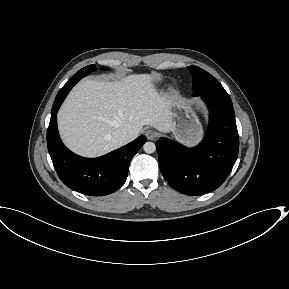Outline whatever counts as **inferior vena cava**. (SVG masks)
I'll use <instances>...</instances> for the list:
<instances>
[{
  "instance_id": "602c4592",
  "label": "inferior vena cava",
  "mask_w": 289,
  "mask_h": 289,
  "mask_svg": "<svg viewBox=\"0 0 289 289\" xmlns=\"http://www.w3.org/2000/svg\"><path fill=\"white\" fill-rule=\"evenodd\" d=\"M113 140L117 145H124L128 141V135L123 130H118L113 134Z\"/></svg>"
}]
</instances>
